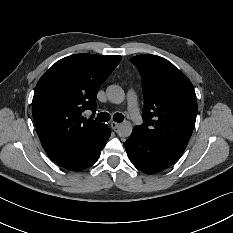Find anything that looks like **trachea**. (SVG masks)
<instances>
[{"label": "trachea", "mask_w": 233, "mask_h": 233, "mask_svg": "<svg viewBox=\"0 0 233 233\" xmlns=\"http://www.w3.org/2000/svg\"><path fill=\"white\" fill-rule=\"evenodd\" d=\"M123 119H124V116L121 113H115L114 116H113V120L115 122H122ZM109 120H110V114H108L106 112L99 113L98 116H97V121L107 122Z\"/></svg>", "instance_id": "obj_1"}]
</instances>
